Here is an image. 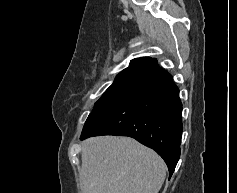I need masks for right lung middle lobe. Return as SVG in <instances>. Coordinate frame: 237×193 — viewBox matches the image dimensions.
I'll return each mask as SVG.
<instances>
[{
  "label": "right lung middle lobe",
  "mask_w": 237,
  "mask_h": 193,
  "mask_svg": "<svg viewBox=\"0 0 237 193\" xmlns=\"http://www.w3.org/2000/svg\"><path fill=\"white\" fill-rule=\"evenodd\" d=\"M144 72L145 71H132L117 75L113 84L95 103L94 109L89 117L117 105L128 97V95L140 85Z\"/></svg>",
  "instance_id": "dd1d6c3e"
}]
</instances>
